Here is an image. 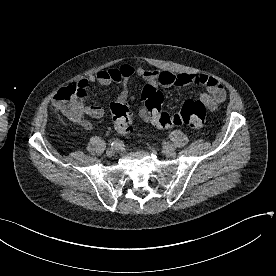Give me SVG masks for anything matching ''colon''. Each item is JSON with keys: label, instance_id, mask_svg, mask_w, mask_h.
<instances>
[{"label": "colon", "instance_id": "obj_1", "mask_svg": "<svg viewBox=\"0 0 276 276\" xmlns=\"http://www.w3.org/2000/svg\"><path fill=\"white\" fill-rule=\"evenodd\" d=\"M82 88L77 84H70L60 89L55 96L58 110L67 118L77 113L74 104L76 98L82 95ZM164 98L160 90L153 84H147L142 91V113L150 123L161 129L186 125L193 130H201L206 120V105L200 100H187L179 112L169 114L163 111ZM113 124L120 134L132 131L130 102H114L110 107Z\"/></svg>", "mask_w": 276, "mask_h": 276}]
</instances>
